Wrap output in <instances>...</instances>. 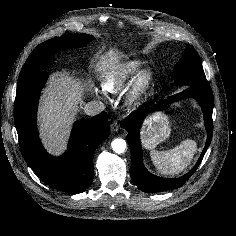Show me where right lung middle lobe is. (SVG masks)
I'll use <instances>...</instances> for the list:
<instances>
[{"mask_svg": "<svg viewBox=\"0 0 236 236\" xmlns=\"http://www.w3.org/2000/svg\"><path fill=\"white\" fill-rule=\"evenodd\" d=\"M92 39L93 38L87 34H71L50 39L39 44L25 62L18 80L30 74L43 71L55 51L78 48L84 46Z\"/></svg>", "mask_w": 236, "mask_h": 236, "instance_id": "right-lung-middle-lobe-1", "label": "right lung middle lobe"}]
</instances>
